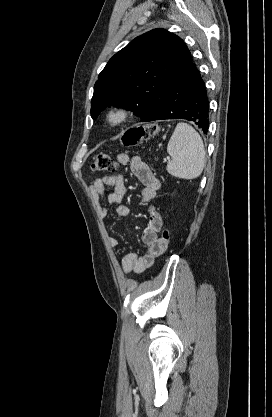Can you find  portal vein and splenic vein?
Segmentation results:
<instances>
[{
  "label": "portal vein and splenic vein",
  "mask_w": 272,
  "mask_h": 417,
  "mask_svg": "<svg viewBox=\"0 0 272 417\" xmlns=\"http://www.w3.org/2000/svg\"><path fill=\"white\" fill-rule=\"evenodd\" d=\"M166 160H167V161H169V160H170V157H169V156H167V157H166Z\"/></svg>",
  "instance_id": "1"
}]
</instances>
